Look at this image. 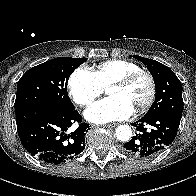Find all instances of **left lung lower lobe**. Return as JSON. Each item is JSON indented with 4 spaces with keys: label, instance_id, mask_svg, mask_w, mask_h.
I'll use <instances>...</instances> for the list:
<instances>
[{
    "label": "left lung lower lobe",
    "instance_id": "left-lung-lower-lobe-1",
    "mask_svg": "<svg viewBox=\"0 0 196 196\" xmlns=\"http://www.w3.org/2000/svg\"><path fill=\"white\" fill-rule=\"evenodd\" d=\"M132 125L138 132L124 144L123 151L131 156L147 158L161 153L173 142L180 119L167 113L146 114Z\"/></svg>",
    "mask_w": 196,
    "mask_h": 196
}]
</instances>
